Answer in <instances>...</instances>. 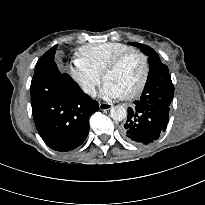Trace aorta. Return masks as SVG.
Segmentation results:
<instances>
[{"instance_id": "obj_1", "label": "aorta", "mask_w": 205, "mask_h": 205, "mask_svg": "<svg viewBox=\"0 0 205 205\" xmlns=\"http://www.w3.org/2000/svg\"><path fill=\"white\" fill-rule=\"evenodd\" d=\"M110 115L113 120L122 121L127 116V111L123 106L118 105L111 108Z\"/></svg>"}]
</instances>
